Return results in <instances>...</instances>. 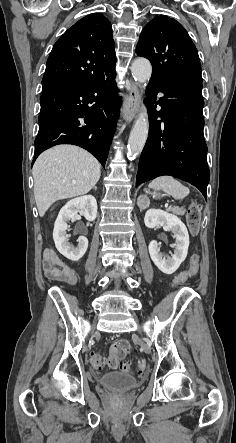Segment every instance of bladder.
<instances>
[{"label": "bladder", "mask_w": 236, "mask_h": 443, "mask_svg": "<svg viewBox=\"0 0 236 443\" xmlns=\"http://www.w3.org/2000/svg\"><path fill=\"white\" fill-rule=\"evenodd\" d=\"M99 384L106 388H131L138 384V379L128 372H108L101 376Z\"/></svg>", "instance_id": "obj_1"}]
</instances>
